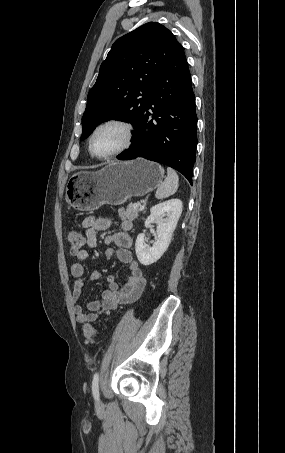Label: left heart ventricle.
I'll use <instances>...</instances> for the list:
<instances>
[{
  "mask_svg": "<svg viewBox=\"0 0 285 453\" xmlns=\"http://www.w3.org/2000/svg\"><path fill=\"white\" fill-rule=\"evenodd\" d=\"M125 141V133L118 126L100 129L93 139V150L98 155L109 154L118 149Z\"/></svg>",
  "mask_w": 285,
  "mask_h": 453,
  "instance_id": "obj_1",
  "label": "left heart ventricle"
}]
</instances>
